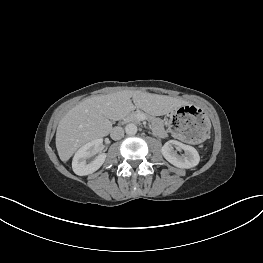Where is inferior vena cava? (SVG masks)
Returning a JSON list of instances; mask_svg holds the SVG:
<instances>
[{
  "instance_id": "inferior-vena-cava-1",
  "label": "inferior vena cava",
  "mask_w": 263,
  "mask_h": 263,
  "mask_svg": "<svg viewBox=\"0 0 263 263\" xmlns=\"http://www.w3.org/2000/svg\"><path fill=\"white\" fill-rule=\"evenodd\" d=\"M110 136L113 140H119L124 137V129L122 127H114L111 132Z\"/></svg>"
}]
</instances>
